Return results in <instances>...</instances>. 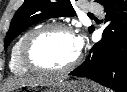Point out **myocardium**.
Here are the masks:
<instances>
[{"mask_svg": "<svg viewBox=\"0 0 127 92\" xmlns=\"http://www.w3.org/2000/svg\"><path fill=\"white\" fill-rule=\"evenodd\" d=\"M64 31L74 36L73 29L64 23H50L41 27L33 29L23 40L20 48V58L23 65L31 72L43 74H63L74 69L81 60V53L78 52L77 56L67 65L60 68L43 67L35 62L31 55V49L35 41L50 31Z\"/></svg>", "mask_w": 127, "mask_h": 92, "instance_id": "obj_1", "label": "myocardium"}]
</instances>
